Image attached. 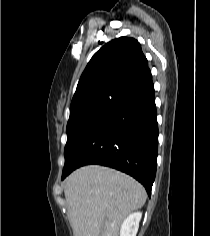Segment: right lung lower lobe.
<instances>
[{"label":"right lung lower lobe","instance_id":"98d812e1","mask_svg":"<svg viewBox=\"0 0 210 236\" xmlns=\"http://www.w3.org/2000/svg\"><path fill=\"white\" fill-rule=\"evenodd\" d=\"M158 123L152 77L132 88L89 131L64 166L62 180L83 165L125 172L151 195L155 179Z\"/></svg>","mask_w":210,"mask_h":236}]
</instances>
